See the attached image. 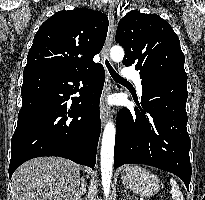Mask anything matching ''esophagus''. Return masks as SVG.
Returning a JSON list of instances; mask_svg holds the SVG:
<instances>
[{
  "mask_svg": "<svg viewBox=\"0 0 205 200\" xmlns=\"http://www.w3.org/2000/svg\"><path fill=\"white\" fill-rule=\"evenodd\" d=\"M107 16L109 19V28H108V34L104 49V55L106 59H109V51L113 42L114 32H115V20H114V14L113 9L111 6L107 9ZM111 91V83H110V75L108 71L106 72V83L103 89L102 97H101V103H100V119L102 126L105 125L107 118H108V109L105 104V99L107 95Z\"/></svg>",
  "mask_w": 205,
  "mask_h": 200,
  "instance_id": "esophagus-1",
  "label": "esophagus"
}]
</instances>
